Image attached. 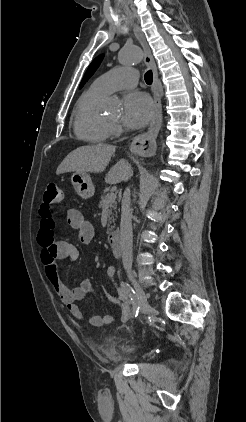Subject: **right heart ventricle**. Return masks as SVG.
<instances>
[{"mask_svg":"<svg viewBox=\"0 0 246 422\" xmlns=\"http://www.w3.org/2000/svg\"><path fill=\"white\" fill-rule=\"evenodd\" d=\"M106 96L93 85L79 98L74 111V133L87 142L101 143L110 136V122L99 112V104Z\"/></svg>","mask_w":246,"mask_h":422,"instance_id":"obj_1","label":"right heart ventricle"}]
</instances>
